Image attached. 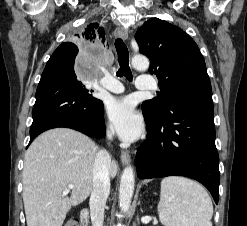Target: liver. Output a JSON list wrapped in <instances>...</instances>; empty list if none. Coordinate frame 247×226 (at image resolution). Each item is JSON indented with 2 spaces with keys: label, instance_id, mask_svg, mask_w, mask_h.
Here are the masks:
<instances>
[{
  "label": "liver",
  "instance_id": "1",
  "mask_svg": "<svg viewBox=\"0 0 247 226\" xmlns=\"http://www.w3.org/2000/svg\"><path fill=\"white\" fill-rule=\"evenodd\" d=\"M98 147L86 135L68 128L44 132L30 145L23 168V202L27 226H62L71 206L93 190ZM117 164H110L114 178ZM73 185L71 196L64 192ZM70 191V190H69Z\"/></svg>",
  "mask_w": 247,
  "mask_h": 226
}]
</instances>
